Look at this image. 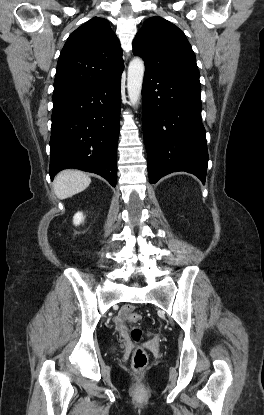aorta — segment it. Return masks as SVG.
Returning a JSON list of instances; mask_svg holds the SVG:
<instances>
[{"instance_id": "1", "label": "aorta", "mask_w": 264, "mask_h": 415, "mask_svg": "<svg viewBox=\"0 0 264 415\" xmlns=\"http://www.w3.org/2000/svg\"><path fill=\"white\" fill-rule=\"evenodd\" d=\"M144 71L145 67L142 59L135 58L130 62L127 74V91L130 103L133 106H137L140 99Z\"/></svg>"}]
</instances>
